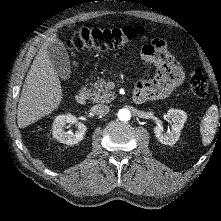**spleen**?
Segmentation results:
<instances>
[{"label":"spleen","mask_w":221,"mask_h":221,"mask_svg":"<svg viewBox=\"0 0 221 221\" xmlns=\"http://www.w3.org/2000/svg\"><path fill=\"white\" fill-rule=\"evenodd\" d=\"M219 122L218 107L212 105L203 117L200 126V132L202 135V142L206 146L211 143L216 133Z\"/></svg>","instance_id":"spleen-1"}]
</instances>
